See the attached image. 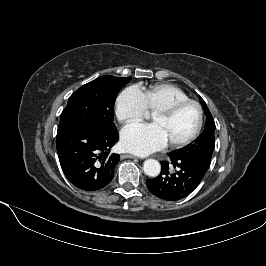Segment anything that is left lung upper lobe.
<instances>
[{
  "label": "left lung upper lobe",
  "instance_id": "1",
  "mask_svg": "<svg viewBox=\"0 0 266 266\" xmlns=\"http://www.w3.org/2000/svg\"><path fill=\"white\" fill-rule=\"evenodd\" d=\"M200 102L207 114L206 124L202 134L193 143L174 153H176L180 159L190 163L205 174L210 166L215 146V123L205 101L201 97Z\"/></svg>",
  "mask_w": 266,
  "mask_h": 266
}]
</instances>
